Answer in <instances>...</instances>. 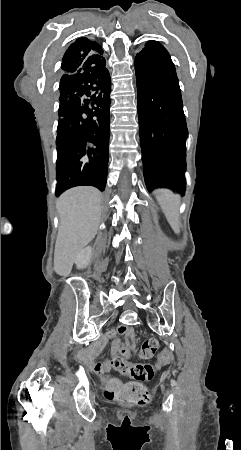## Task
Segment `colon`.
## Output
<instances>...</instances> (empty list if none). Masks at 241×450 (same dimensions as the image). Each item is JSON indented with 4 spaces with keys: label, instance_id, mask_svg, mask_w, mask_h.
Returning a JSON list of instances; mask_svg holds the SVG:
<instances>
[{
    "label": "colon",
    "instance_id": "5ec220e1",
    "mask_svg": "<svg viewBox=\"0 0 241 450\" xmlns=\"http://www.w3.org/2000/svg\"><path fill=\"white\" fill-rule=\"evenodd\" d=\"M159 346L160 343L156 338H148L141 344L139 356L142 359H149L157 353ZM169 358L170 353L163 351L159 356V361L166 363ZM120 372L136 382H142L143 380L153 379L157 367L153 364H129L125 362L124 368ZM136 382L122 383L113 378L103 379L102 395L107 401L144 408L150 403L151 395L145 386Z\"/></svg>",
    "mask_w": 241,
    "mask_h": 450
}]
</instances>
